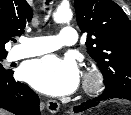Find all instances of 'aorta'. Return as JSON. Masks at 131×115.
<instances>
[{
  "mask_svg": "<svg viewBox=\"0 0 131 115\" xmlns=\"http://www.w3.org/2000/svg\"><path fill=\"white\" fill-rule=\"evenodd\" d=\"M72 11L69 8H59L53 15L57 23L68 22L72 19Z\"/></svg>",
  "mask_w": 131,
  "mask_h": 115,
  "instance_id": "aorta-1",
  "label": "aorta"
}]
</instances>
